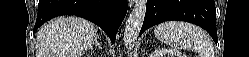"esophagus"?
I'll use <instances>...</instances> for the list:
<instances>
[{
    "label": "esophagus",
    "mask_w": 249,
    "mask_h": 57,
    "mask_svg": "<svg viewBox=\"0 0 249 57\" xmlns=\"http://www.w3.org/2000/svg\"><path fill=\"white\" fill-rule=\"evenodd\" d=\"M128 2H129V5L132 6L134 3L137 2V0H129Z\"/></svg>",
    "instance_id": "34e87169"
}]
</instances>
